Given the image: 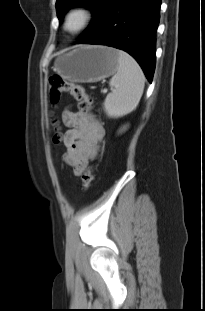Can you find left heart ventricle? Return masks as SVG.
Returning <instances> with one entry per match:
<instances>
[{"label":"left heart ventricle","instance_id":"obj_1","mask_svg":"<svg viewBox=\"0 0 205 311\" xmlns=\"http://www.w3.org/2000/svg\"><path fill=\"white\" fill-rule=\"evenodd\" d=\"M81 22V17L79 15H74L69 23L70 28H75L77 27Z\"/></svg>","mask_w":205,"mask_h":311}]
</instances>
